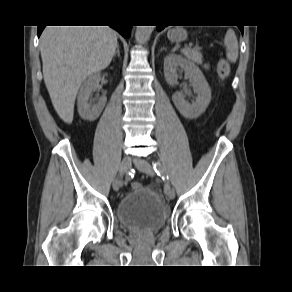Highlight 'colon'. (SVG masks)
I'll list each match as a JSON object with an SVG mask.
<instances>
[{"label": "colon", "mask_w": 292, "mask_h": 292, "mask_svg": "<svg viewBox=\"0 0 292 292\" xmlns=\"http://www.w3.org/2000/svg\"><path fill=\"white\" fill-rule=\"evenodd\" d=\"M218 74L221 80L226 79L230 74V66L224 59H221L219 61ZM131 187L132 189H138L139 187H141V184L139 182H133L131 184Z\"/></svg>", "instance_id": "obj_1"}]
</instances>
